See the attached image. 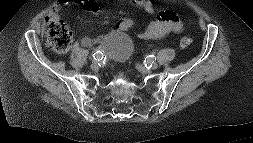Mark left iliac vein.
<instances>
[{
  "mask_svg": "<svg viewBox=\"0 0 253 143\" xmlns=\"http://www.w3.org/2000/svg\"><path fill=\"white\" fill-rule=\"evenodd\" d=\"M158 67L157 63L153 62L152 65L150 66L151 69H156ZM141 71H145L144 67H141Z\"/></svg>",
  "mask_w": 253,
  "mask_h": 143,
  "instance_id": "1",
  "label": "left iliac vein"
}]
</instances>
